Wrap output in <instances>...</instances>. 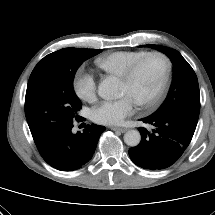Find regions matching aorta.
Instances as JSON below:
<instances>
[{
    "label": "aorta",
    "instance_id": "1",
    "mask_svg": "<svg viewBox=\"0 0 215 215\" xmlns=\"http://www.w3.org/2000/svg\"><path fill=\"white\" fill-rule=\"evenodd\" d=\"M98 95L105 100L116 99L119 95V82L115 77H106L98 86ZM141 141L138 130H129L124 134V142L131 147L137 146Z\"/></svg>",
    "mask_w": 215,
    "mask_h": 215
}]
</instances>
